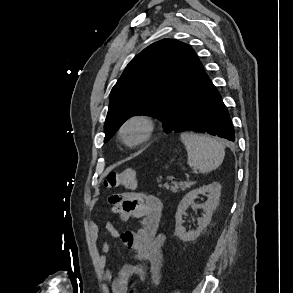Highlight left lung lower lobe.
Returning <instances> with one entry per match:
<instances>
[{
  "label": "left lung lower lobe",
  "mask_w": 293,
  "mask_h": 293,
  "mask_svg": "<svg viewBox=\"0 0 293 293\" xmlns=\"http://www.w3.org/2000/svg\"><path fill=\"white\" fill-rule=\"evenodd\" d=\"M172 131L207 132L235 141L230 116L212 82L186 105L180 121Z\"/></svg>",
  "instance_id": "obj_1"
}]
</instances>
